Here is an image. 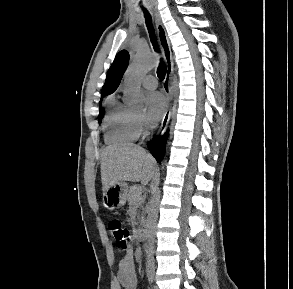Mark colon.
<instances>
[{
  "label": "colon",
  "mask_w": 293,
  "mask_h": 289,
  "mask_svg": "<svg viewBox=\"0 0 293 289\" xmlns=\"http://www.w3.org/2000/svg\"><path fill=\"white\" fill-rule=\"evenodd\" d=\"M108 228L118 246L122 250H127L130 246V232L126 226L118 219H110Z\"/></svg>",
  "instance_id": "obj_1"
}]
</instances>
